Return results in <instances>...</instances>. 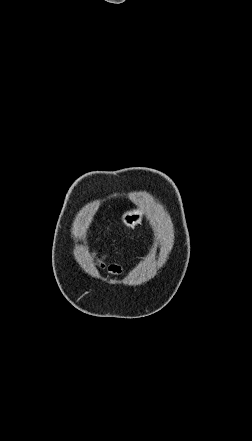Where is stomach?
<instances>
[{
  "label": "stomach",
  "mask_w": 252,
  "mask_h": 441,
  "mask_svg": "<svg viewBox=\"0 0 252 441\" xmlns=\"http://www.w3.org/2000/svg\"><path fill=\"white\" fill-rule=\"evenodd\" d=\"M143 213L139 209H134L124 212L122 215V222L129 228H135L138 224H141Z\"/></svg>",
  "instance_id": "obj_1"
}]
</instances>
